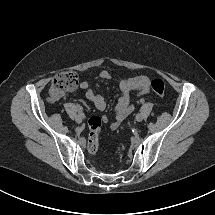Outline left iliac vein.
Returning a JSON list of instances; mask_svg holds the SVG:
<instances>
[{
	"instance_id": "4c4485c4",
	"label": "left iliac vein",
	"mask_w": 215,
	"mask_h": 215,
	"mask_svg": "<svg viewBox=\"0 0 215 215\" xmlns=\"http://www.w3.org/2000/svg\"><path fill=\"white\" fill-rule=\"evenodd\" d=\"M135 120H136L137 122L142 121V120H143L142 114H137V115L135 116Z\"/></svg>"
}]
</instances>
